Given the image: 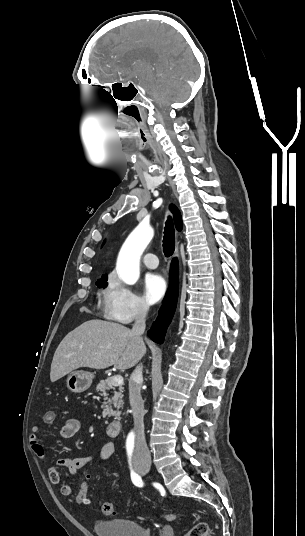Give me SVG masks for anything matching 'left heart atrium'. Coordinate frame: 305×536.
Masks as SVG:
<instances>
[{"instance_id": "39dd6f15", "label": "left heart atrium", "mask_w": 305, "mask_h": 536, "mask_svg": "<svg viewBox=\"0 0 305 536\" xmlns=\"http://www.w3.org/2000/svg\"><path fill=\"white\" fill-rule=\"evenodd\" d=\"M144 293L150 303H157L166 291L165 280L158 274L149 273L143 282Z\"/></svg>"}]
</instances>
